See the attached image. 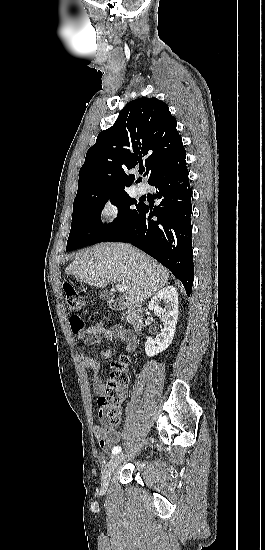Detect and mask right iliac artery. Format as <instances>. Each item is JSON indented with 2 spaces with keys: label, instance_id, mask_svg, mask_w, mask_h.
<instances>
[{
  "label": "right iliac artery",
  "instance_id": "1",
  "mask_svg": "<svg viewBox=\"0 0 265 550\" xmlns=\"http://www.w3.org/2000/svg\"><path fill=\"white\" fill-rule=\"evenodd\" d=\"M119 452H121V447L120 446H115L113 449H112V454H118Z\"/></svg>",
  "mask_w": 265,
  "mask_h": 550
}]
</instances>
